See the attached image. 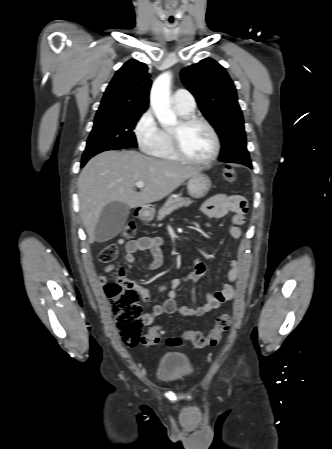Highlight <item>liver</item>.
I'll return each instance as SVG.
<instances>
[{"label":"liver","mask_w":332,"mask_h":449,"mask_svg":"<svg viewBox=\"0 0 332 449\" xmlns=\"http://www.w3.org/2000/svg\"><path fill=\"white\" fill-rule=\"evenodd\" d=\"M200 172L197 167L148 157L137 151H105L82 169L77 186L80 213L89 243L102 209L111 202L135 208L162 200L184 181ZM145 186L135 191L136 182Z\"/></svg>","instance_id":"1"}]
</instances>
